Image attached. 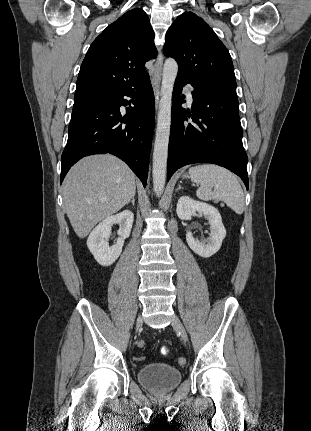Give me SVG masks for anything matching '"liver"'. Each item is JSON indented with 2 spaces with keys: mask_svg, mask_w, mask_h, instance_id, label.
<instances>
[{
  "mask_svg": "<svg viewBox=\"0 0 311 431\" xmlns=\"http://www.w3.org/2000/svg\"><path fill=\"white\" fill-rule=\"evenodd\" d=\"M135 194V174L111 154L83 158L63 184L65 212L78 237H86L98 221L119 212Z\"/></svg>",
  "mask_w": 311,
  "mask_h": 431,
  "instance_id": "liver-1",
  "label": "liver"
}]
</instances>
